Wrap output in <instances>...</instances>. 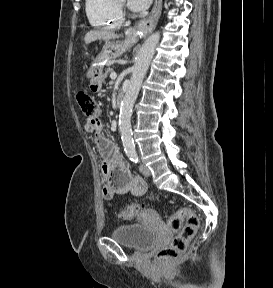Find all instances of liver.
Wrapping results in <instances>:
<instances>
[{
	"label": "liver",
	"instance_id": "1",
	"mask_svg": "<svg viewBox=\"0 0 273 288\" xmlns=\"http://www.w3.org/2000/svg\"><path fill=\"white\" fill-rule=\"evenodd\" d=\"M116 38H119V35L108 30H91L84 36V42L89 44L96 40H111Z\"/></svg>",
	"mask_w": 273,
	"mask_h": 288
}]
</instances>
